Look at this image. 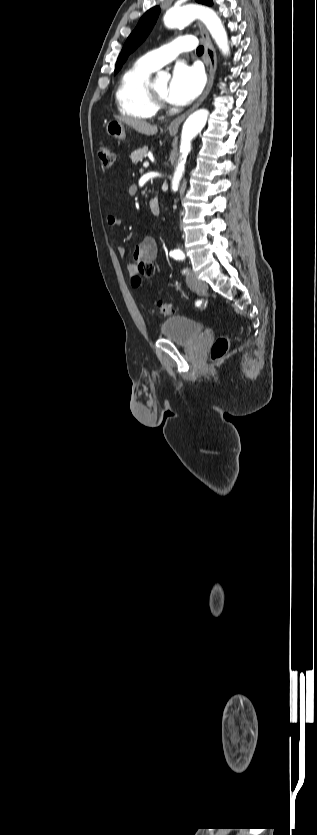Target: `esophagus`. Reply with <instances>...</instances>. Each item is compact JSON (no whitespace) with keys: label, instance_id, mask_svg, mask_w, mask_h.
<instances>
[{"label":"esophagus","instance_id":"obj_1","mask_svg":"<svg viewBox=\"0 0 317 835\" xmlns=\"http://www.w3.org/2000/svg\"><path fill=\"white\" fill-rule=\"evenodd\" d=\"M196 25L201 32V36H202V39H203V42H204L205 65H206L207 71H208V82H207V85H206L203 93L201 94L199 99L195 102V104L189 110H187L185 113H183L182 115L175 118L169 124L168 130L170 132H174V133H176L178 131L179 126L185 120V118L189 114H191L197 107H199L200 104L204 101V99L209 94V92H210V90L213 86L215 72H216V68H217V56H216L215 49H214V47L211 43L209 34H208L207 30L204 28V26L201 24V22L197 21Z\"/></svg>","mask_w":317,"mask_h":835}]
</instances>
